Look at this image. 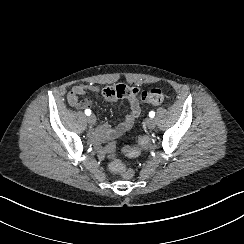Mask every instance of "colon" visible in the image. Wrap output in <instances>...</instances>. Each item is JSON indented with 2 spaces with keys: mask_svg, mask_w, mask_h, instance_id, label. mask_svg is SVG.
Here are the masks:
<instances>
[{
  "mask_svg": "<svg viewBox=\"0 0 244 244\" xmlns=\"http://www.w3.org/2000/svg\"><path fill=\"white\" fill-rule=\"evenodd\" d=\"M139 90L130 85L118 83L115 85L108 86L104 89V96L110 100L120 99L126 96H134V93ZM142 102L149 105H162L165 101V94L163 90L159 87H152L146 89V93L143 94L140 99ZM139 146L134 144H128L122 147L121 152L125 156H130L132 158L140 157L143 154V150H148L151 147V142L148 134L141 133L138 136ZM122 140L119 137L111 138L108 140L105 152L112 154L117 150L118 146L121 145ZM121 174L126 178H131L134 175V170L131 167H126L121 169Z\"/></svg>",
  "mask_w": 244,
  "mask_h": 244,
  "instance_id": "5ec220e1",
  "label": "colon"
}]
</instances>
